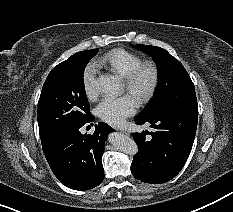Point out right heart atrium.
I'll return each mask as SVG.
<instances>
[{"label": "right heart atrium", "instance_id": "d8ad5b80", "mask_svg": "<svg viewBox=\"0 0 233 212\" xmlns=\"http://www.w3.org/2000/svg\"><path fill=\"white\" fill-rule=\"evenodd\" d=\"M82 85L88 99L93 100L97 96L96 88V67L93 63H89L82 73Z\"/></svg>", "mask_w": 233, "mask_h": 212}]
</instances>
